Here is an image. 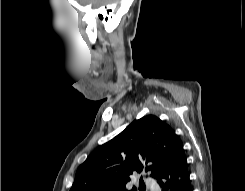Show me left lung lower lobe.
<instances>
[{
    "instance_id": "1",
    "label": "left lung lower lobe",
    "mask_w": 245,
    "mask_h": 191,
    "mask_svg": "<svg viewBox=\"0 0 245 191\" xmlns=\"http://www.w3.org/2000/svg\"><path fill=\"white\" fill-rule=\"evenodd\" d=\"M157 182L162 191H193L183 148L169 167L159 175Z\"/></svg>"
}]
</instances>
